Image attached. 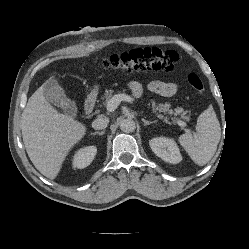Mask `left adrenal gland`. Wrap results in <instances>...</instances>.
<instances>
[{
    "label": "left adrenal gland",
    "mask_w": 249,
    "mask_h": 249,
    "mask_svg": "<svg viewBox=\"0 0 249 249\" xmlns=\"http://www.w3.org/2000/svg\"><path fill=\"white\" fill-rule=\"evenodd\" d=\"M142 121L144 122V125L146 126V125H150V124H153V123H156L157 122V120H154V121H148V120H146V119H144V118H142Z\"/></svg>",
    "instance_id": "1"
}]
</instances>
